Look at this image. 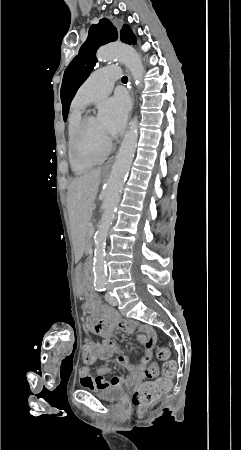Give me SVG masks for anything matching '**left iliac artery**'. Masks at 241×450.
<instances>
[{
    "mask_svg": "<svg viewBox=\"0 0 241 450\" xmlns=\"http://www.w3.org/2000/svg\"><path fill=\"white\" fill-rule=\"evenodd\" d=\"M106 290V288L105 287H102V291H105Z\"/></svg>",
    "mask_w": 241,
    "mask_h": 450,
    "instance_id": "44dca946",
    "label": "left iliac artery"
}]
</instances>
